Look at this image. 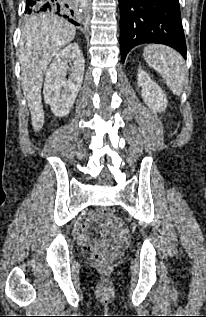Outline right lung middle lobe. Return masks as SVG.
Listing matches in <instances>:
<instances>
[{
    "label": "right lung middle lobe",
    "instance_id": "right-lung-middle-lobe-1",
    "mask_svg": "<svg viewBox=\"0 0 206 317\" xmlns=\"http://www.w3.org/2000/svg\"><path fill=\"white\" fill-rule=\"evenodd\" d=\"M39 13H40V12H39ZM36 14H37V13L30 14V15L28 16V18H32V17L36 16Z\"/></svg>",
    "mask_w": 206,
    "mask_h": 317
}]
</instances>
